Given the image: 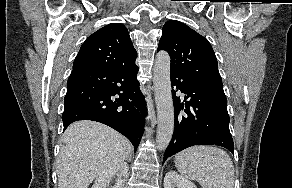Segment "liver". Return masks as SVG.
<instances>
[{
	"label": "liver",
	"instance_id": "obj_1",
	"mask_svg": "<svg viewBox=\"0 0 292 188\" xmlns=\"http://www.w3.org/2000/svg\"><path fill=\"white\" fill-rule=\"evenodd\" d=\"M56 161L58 188H88L90 183L131 154V143L112 128L94 121H77L62 136Z\"/></svg>",
	"mask_w": 292,
	"mask_h": 188
}]
</instances>
